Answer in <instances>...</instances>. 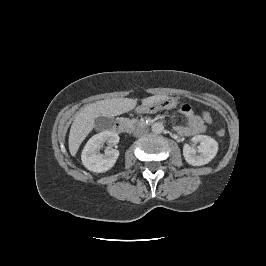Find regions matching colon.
Returning a JSON list of instances; mask_svg holds the SVG:
<instances>
[{"instance_id": "1", "label": "colon", "mask_w": 266, "mask_h": 266, "mask_svg": "<svg viewBox=\"0 0 266 266\" xmlns=\"http://www.w3.org/2000/svg\"><path fill=\"white\" fill-rule=\"evenodd\" d=\"M201 116H202V120L205 123H211L213 121L212 115L209 112H207V111H204ZM217 135L219 137H223L225 135V130L224 129L218 130L217 131Z\"/></svg>"}]
</instances>
